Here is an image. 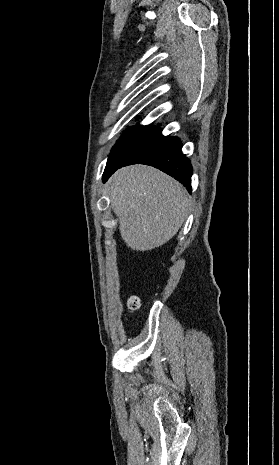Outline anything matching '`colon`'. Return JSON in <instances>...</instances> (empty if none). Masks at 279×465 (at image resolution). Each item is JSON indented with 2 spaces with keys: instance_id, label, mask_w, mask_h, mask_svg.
Masks as SVG:
<instances>
[{
  "instance_id": "colon-1",
  "label": "colon",
  "mask_w": 279,
  "mask_h": 465,
  "mask_svg": "<svg viewBox=\"0 0 279 465\" xmlns=\"http://www.w3.org/2000/svg\"><path fill=\"white\" fill-rule=\"evenodd\" d=\"M140 306V300L138 297L136 296H131L129 299H128V307L132 310H136L138 309Z\"/></svg>"
}]
</instances>
